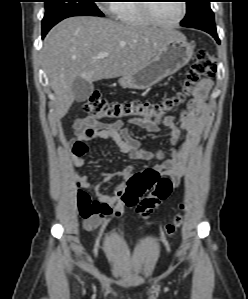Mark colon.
<instances>
[{"mask_svg": "<svg viewBox=\"0 0 248 299\" xmlns=\"http://www.w3.org/2000/svg\"><path fill=\"white\" fill-rule=\"evenodd\" d=\"M216 67L215 57L209 51L201 49L196 53L186 74L182 90L175 96L159 102L138 100L111 102L98 93H92L88 96L83 109L91 117L102 120L143 119L158 123L174 106L185 99L198 82L214 76ZM172 188L168 178L162 177L153 168H147L135 172L128 178L120 193V199L126 207H133L143 194L148 193L137 208L138 214L147 219L151 212L170 195ZM78 208L82 217L93 215L91 199L85 193H78ZM182 223V215L177 214L172 222L164 227L165 233L173 236L181 228Z\"/></svg>", "mask_w": 248, "mask_h": 299, "instance_id": "5ec220e1", "label": "colon"}]
</instances>
